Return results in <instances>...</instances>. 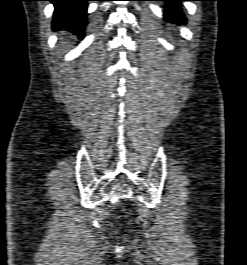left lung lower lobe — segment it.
Wrapping results in <instances>:
<instances>
[{"label":"left lung lower lobe","instance_id":"0a47b994","mask_svg":"<svg viewBox=\"0 0 247 265\" xmlns=\"http://www.w3.org/2000/svg\"><path fill=\"white\" fill-rule=\"evenodd\" d=\"M156 1H165L166 4V12L165 16L170 18L171 20H177L179 22H184L185 17L180 9V5L178 2L180 1H194V0H156Z\"/></svg>","mask_w":247,"mask_h":265}]
</instances>
